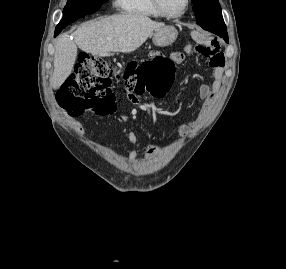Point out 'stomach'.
<instances>
[{
    "instance_id": "stomach-1",
    "label": "stomach",
    "mask_w": 286,
    "mask_h": 269,
    "mask_svg": "<svg viewBox=\"0 0 286 269\" xmlns=\"http://www.w3.org/2000/svg\"><path fill=\"white\" fill-rule=\"evenodd\" d=\"M178 32L173 26L164 25L153 33V43L164 47L171 45L177 38Z\"/></svg>"
}]
</instances>
